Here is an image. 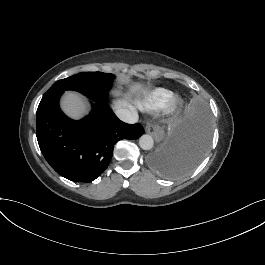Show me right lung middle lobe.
I'll list each match as a JSON object with an SVG mask.
<instances>
[{
    "label": "right lung middle lobe",
    "mask_w": 265,
    "mask_h": 265,
    "mask_svg": "<svg viewBox=\"0 0 265 265\" xmlns=\"http://www.w3.org/2000/svg\"><path fill=\"white\" fill-rule=\"evenodd\" d=\"M114 75L102 72H83L58 80L46 92H63L65 90L78 91L94 101H106V93L111 87Z\"/></svg>",
    "instance_id": "dd1d6c3e"
}]
</instances>
